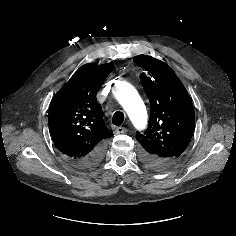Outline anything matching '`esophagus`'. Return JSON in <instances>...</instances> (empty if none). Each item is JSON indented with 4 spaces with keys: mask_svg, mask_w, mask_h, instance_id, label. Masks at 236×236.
Instances as JSON below:
<instances>
[{
    "mask_svg": "<svg viewBox=\"0 0 236 236\" xmlns=\"http://www.w3.org/2000/svg\"><path fill=\"white\" fill-rule=\"evenodd\" d=\"M126 132H127V129L125 127H117L115 129L116 134H123V133H126Z\"/></svg>",
    "mask_w": 236,
    "mask_h": 236,
    "instance_id": "1",
    "label": "esophagus"
}]
</instances>
